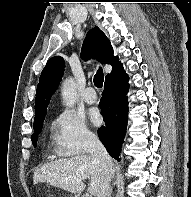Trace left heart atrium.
<instances>
[{
    "instance_id": "obj_1",
    "label": "left heart atrium",
    "mask_w": 191,
    "mask_h": 197,
    "mask_svg": "<svg viewBox=\"0 0 191 197\" xmlns=\"http://www.w3.org/2000/svg\"><path fill=\"white\" fill-rule=\"evenodd\" d=\"M90 119H91V122L98 126L102 123V117H101V114L98 110L94 109L90 112Z\"/></svg>"
}]
</instances>
